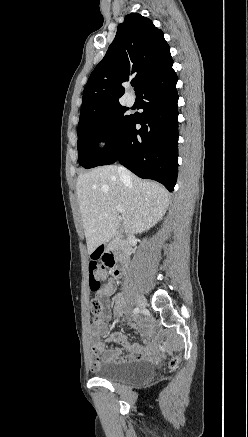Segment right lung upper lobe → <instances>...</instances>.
<instances>
[{"mask_svg": "<svg viewBox=\"0 0 248 437\" xmlns=\"http://www.w3.org/2000/svg\"><path fill=\"white\" fill-rule=\"evenodd\" d=\"M170 58L163 32L150 19L138 13L128 14L85 86L79 124L120 105L125 81L134 77L137 92Z\"/></svg>", "mask_w": 248, "mask_h": 437, "instance_id": "obj_1", "label": "right lung upper lobe"}]
</instances>
